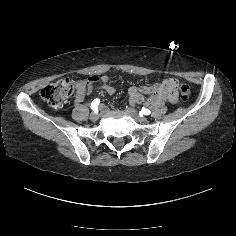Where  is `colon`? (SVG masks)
<instances>
[{"label":"colon","mask_w":236,"mask_h":236,"mask_svg":"<svg viewBox=\"0 0 236 236\" xmlns=\"http://www.w3.org/2000/svg\"><path fill=\"white\" fill-rule=\"evenodd\" d=\"M88 81L74 82L68 78L60 79L44 87L41 91V97L52 109L60 110L67 99L82 90ZM176 85L181 93L182 99H188L190 87L183 82H179Z\"/></svg>","instance_id":"obj_1"}]
</instances>
